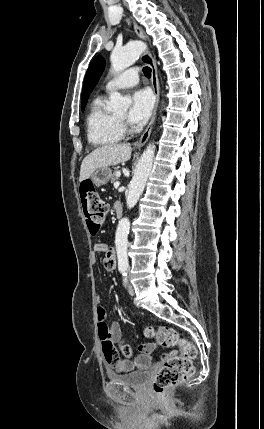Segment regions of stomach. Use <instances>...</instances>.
<instances>
[{"label":"stomach","mask_w":264,"mask_h":429,"mask_svg":"<svg viewBox=\"0 0 264 429\" xmlns=\"http://www.w3.org/2000/svg\"><path fill=\"white\" fill-rule=\"evenodd\" d=\"M110 178H111V169L109 167L99 168L91 175V181L96 186H101L106 184Z\"/></svg>","instance_id":"stomach-1"}]
</instances>
